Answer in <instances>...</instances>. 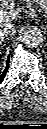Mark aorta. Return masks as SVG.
Instances as JSON below:
<instances>
[{
	"label": "aorta",
	"instance_id": "obj_1",
	"mask_svg": "<svg viewBox=\"0 0 47 129\" xmlns=\"http://www.w3.org/2000/svg\"><path fill=\"white\" fill-rule=\"evenodd\" d=\"M22 41L29 48H36L42 45L44 37L37 29H27L24 31Z\"/></svg>",
	"mask_w": 47,
	"mask_h": 129
}]
</instances>
